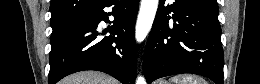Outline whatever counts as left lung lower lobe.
I'll use <instances>...</instances> for the list:
<instances>
[{
	"mask_svg": "<svg viewBox=\"0 0 260 84\" xmlns=\"http://www.w3.org/2000/svg\"><path fill=\"white\" fill-rule=\"evenodd\" d=\"M160 0L144 53L148 83L193 73L223 84V49L216 0ZM172 14V16H169Z\"/></svg>",
	"mask_w": 260,
	"mask_h": 84,
	"instance_id": "left-lung-lower-lobe-1",
	"label": "left lung lower lobe"
}]
</instances>
